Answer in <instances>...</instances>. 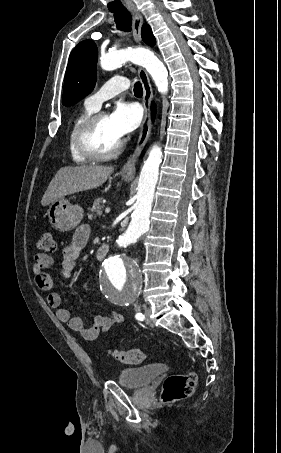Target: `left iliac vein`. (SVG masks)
<instances>
[{"label": "left iliac vein", "instance_id": "4c4485c4", "mask_svg": "<svg viewBox=\"0 0 281 453\" xmlns=\"http://www.w3.org/2000/svg\"><path fill=\"white\" fill-rule=\"evenodd\" d=\"M144 310H145L144 316L148 318L147 325H152V320H150L149 317V315H151V310H148L147 308H145Z\"/></svg>", "mask_w": 281, "mask_h": 453}]
</instances>
